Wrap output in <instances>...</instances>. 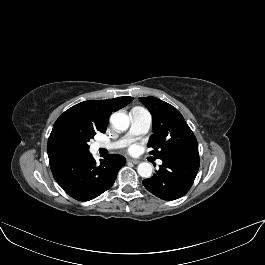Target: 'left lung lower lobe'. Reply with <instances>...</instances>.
<instances>
[{"mask_svg":"<svg viewBox=\"0 0 265 265\" xmlns=\"http://www.w3.org/2000/svg\"><path fill=\"white\" fill-rule=\"evenodd\" d=\"M156 174L143 181L145 188L164 200L184 196L192 186L199 169V153L167 155Z\"/></svg>","mask_w":265,"mask_h":265,"instance_id":"obj_1","label":"left lung lower lobe"}]
</instances>
